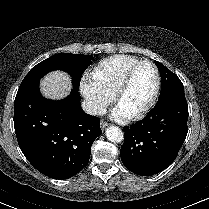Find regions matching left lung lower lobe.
<instances>
[{
	"label": "left lung lower lobe",
	"instance_id": "0a47b994",
	"mask_svg": "<svg viewBox=\"0 0 209 209\" xmlns=\"http://www.w3.org/2000/svg\"><path fill=\"white\" fill-rule=\"evenodd\" d=\"M188 115L184 91L159 97L143 120L124 127L125 143L120 156L125 167L141 176L154 175L167 168L187 136Z\"/></svg>",
	"mask_w": 209,
	"mask_h": 209
}]
</instances>
